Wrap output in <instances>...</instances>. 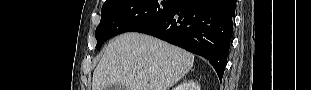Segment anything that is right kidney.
I'll use <instances>...</instances> for the list:
<instances>
[{"instance_id":"obj_1","label":"right kidney","mask_w":311,"mask_h":90,"mask_svg":"<svg viewBox=\"0 0 311 90\" xmlns=\"http://www.w3.org/2000/svg\"><path fill=\"white\" fill-rule=\"evenodd\" d=\"M174 90H200V86L196 82L189 81L179 85Z\"/></svg>"}]
</instances>
